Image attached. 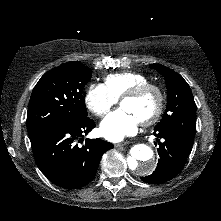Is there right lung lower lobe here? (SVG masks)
I'll list each match as a JSON object with an SVG mask.
<instances>
[{
  "label": "right lung lower lobe",
  "instance_id": "98d812e1",
  "mask_svg": "<svg viewBox=\"0 0 221 221\" xmlns=\"http://www.w3.org/2000/svg\"><path fill=\"white\" fill-rule=\"evenodd\" d=\"M95 122L81 117L65 127L47 129L30 137L35 161L41 172L54 184L65 189H77L95 176L102 155L114 146L101 139H86L84 134Z\"/></svg>",
  "mask_w": 221,
  "mask_h": 221
}]
</instances>
